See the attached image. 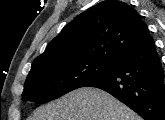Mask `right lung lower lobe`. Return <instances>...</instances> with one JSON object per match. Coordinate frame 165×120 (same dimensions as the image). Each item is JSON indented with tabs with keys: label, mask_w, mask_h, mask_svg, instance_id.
Wrapping results in <instances>:
<instances>
[{
	"label": "right lung lower lobe",
	"mask_w": 165,
	"mask_h": 120,
	"mask_svg": "<svg viewBox=\"0 0 165 120\" xmlns=\"http://www.w3.org/2000/svg\"><path fill=\"white\" fill-rule=\"evenodd\" d=\"M85 87L110 93L144 120H165L164 71L153 40L129 52L112 71Z\"/></svg>",
	"instance_id": "obj_1"
}]
</instances>
